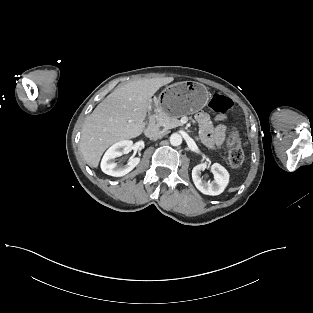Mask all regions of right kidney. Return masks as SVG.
I'll use <instances>...</instances> for the list:
<instances>
[{
	"mask_svg": "<svg viewBox=\"0 0 313 313\" xmlns=\"http://www.w3.org/2000/svg\"><path fill=\"white\" fill-rule=\"evenodd\" d=\"M133 142L130 140H122L113 144L104 154L101 161L102 171L110 176L122 177L132 171L140 162L139 157L130 158L126 165L114 162L116 157L125 154L132 147Z\"/></svg>",
	"mask_w": 313,
	"mask_h": 313,
	"instance_id": "1",
	"label": "right kidney"
}]
</instances>
